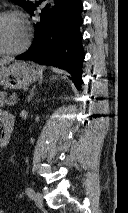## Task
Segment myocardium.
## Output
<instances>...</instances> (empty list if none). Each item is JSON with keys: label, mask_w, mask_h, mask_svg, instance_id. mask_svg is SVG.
Here are the masks:
<instances>
[{"label": "myocardium", "mask_w": 128, "mask_h": 213, "mask_svg": "<svg viewBox=\"0 0 128 213\" xmlns=\"http://www.w3.org/2000/svg\"><path fill=\"white\" fill-rule=\"evenodd\" d=\"M7 17L17 18L23 23L24 28H25V39H24L23 43L15 49L0 48V55H16V54L22 53L23 51H25L28 48V46L30 44V40H31V32H30L29 26L23 19V16L18 11H15V10L0 11V20L3 18H7Z\"/></svg>", "instance_id": "f54148a6"}]
</instances>
